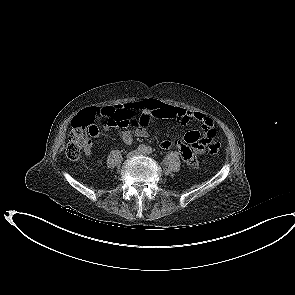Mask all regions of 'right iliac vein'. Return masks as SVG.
Segmentation results:
<instances>
[{
    "label": "right iliac vein",
    "mask_w": 295,
    "mask_h": 295,
    "mask_svg": "<svg viewBox=\"0 0 295 295\" xmlns=\"http://www.w3.org/2000/svg\"><path fill=\"white\" fill-rule=\"evenodd\" d=\"M138 154V152L137 151H133V152H130L129 154H128V158H133L135 155H137Z\"/></svg>",
    "instance_id": "63e3f726"
}]
</instances>
